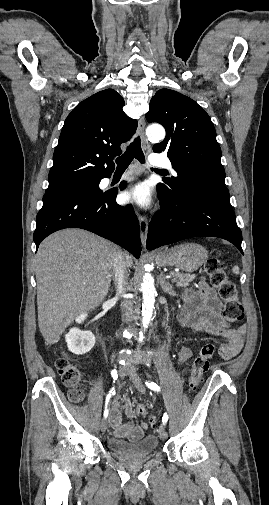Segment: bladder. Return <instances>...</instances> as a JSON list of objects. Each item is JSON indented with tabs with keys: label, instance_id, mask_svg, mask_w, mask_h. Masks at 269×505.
<instances>
[{
	"label": "bladder",
	"instance_id": "bladder-1",
	"mask_svg": "<svg viewBox=\"0 0 269 505\" xmlns=\"http://www.w3.org/2000/svg\"><path fill=\"white\" fill-rule=\"evenodd\" d=\"M158 439L154 435H146L134 441L110 438L108 447L115 455L128 459H142L152 456L158 448Z\"/></svg>",
	"mask_w": 269,
	"mask_h": 505
}]
</instances>
